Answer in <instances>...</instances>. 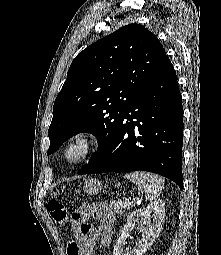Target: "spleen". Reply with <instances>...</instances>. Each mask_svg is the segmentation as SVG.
<instances>
[{"instance_id": "spleen-1", "label": "spleen", "mask_w": 221, "mask_h": 255, "mask_svg": "<svg viewBox=\"0 0 221 255\" xmlns=\"http://www.w3.org/2000/svg\"><path fill=\"white\" fill-rule=\"evenodd\" d=\"M124 177L145 192V197L149 201L158 198L164 186V179L161 176L149 172L136 171L125 174Z\"/></svg>"}]
</instances>
